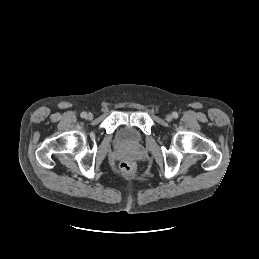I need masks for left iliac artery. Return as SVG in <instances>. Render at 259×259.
I'll return each mask as SVG.
<instances>
[{"label": "left iliac artery", "mask_w": 259, "mask_h": 259, "mask_svg": "<svg viewBox=\"0 0 259 259\" xmlns=\"http://www.w3.org/2000/svg\"><path fill=\"white\" fill-rule=\"evenodd\" d=\"M172 115H173L174 118H178V113L177 112H173Z\"/></svg>", "instance_id": "left-iliac-artery-1"}]
</instances>
